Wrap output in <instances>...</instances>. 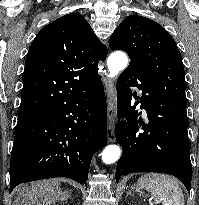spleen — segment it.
<instances>
[{
	"label": "spleen",
	"mask_w": 199,
	"mask_h": 205,
	"mask_svg": "<svg viewBox=\"0 0 199 205\" xmlns=\"http://www.w3.org/2000/svg\"><path fill=\"white\" fill-rule=\"evenodd\" d=\"M139 184L150 191L162 205H184V196L178 182L167 175L147 173L139 179Z\"/></svg>",
	"instance_id": "spleen-1"
}]
</instances>
